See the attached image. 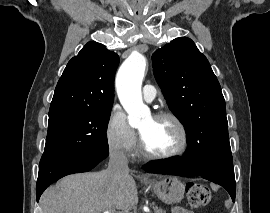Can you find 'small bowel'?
<instances>
[{"label":"small bowel","mask_w":270,"mask_h":213,"mask_svg":"<svg viewBox=\"0 0 270 213\" xmlns=\"http://www.w3.org/2000/svg\"><path fill=\"white\" fill-rule=\"evenodd\" d=\"M172 213H193V212L191 210H188V209L176 207L172 210Z\"/></svg>","instance_id":"small-bowel-1"}]
</instances>
